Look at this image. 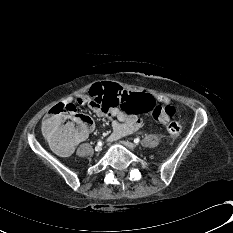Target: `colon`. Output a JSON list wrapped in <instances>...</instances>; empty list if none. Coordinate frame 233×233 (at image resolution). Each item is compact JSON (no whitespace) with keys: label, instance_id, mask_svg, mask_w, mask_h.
Listing matches in <instances>:
<instances>
[{"label":"colon","instance_id":"1","mask_svg":"<svg viewBox=\"0 0 233 233\" xmlns=\"http://www.w3.org/2000/svg\"><path fill=\"white\" fill-rule=\"evenodd\" d=\"M90 96L96 103L118 106L124 111L150 113L153 120L168 123L167 132L172 137H178L182 132L180 123L172 120L176 112L173 106L158 105L150 94L131 90L120 82H97L91 87ZM66 116L69 120L64 122ZM91 130V118L78 114L73 104L55 105L43 123L46 137L60 151L69 149L74 141L87 137Z\"/></svg>","mask_w":233,"mask_h":233}]
</instances>
